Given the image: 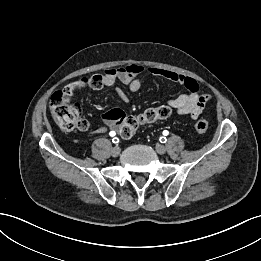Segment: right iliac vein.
I'll return each mask as SVG.
<instances>
[{
	"label": "right iliac vein",
	"instance_id": "right-iliac-vein-1",
	"mask_svg": "<svg viewBox=\"0 0 261 261\" xmlns=\"http://www.w3.org/2000/svg\"><path fill=\"white\" fill-rule=\"evenodd\" d=\"M121 152V149L118 146H115L111 149V155L117 157Z\"/></svg>",
	"mask_w": 261,
	"mask_h": 261
}]
</instances>
